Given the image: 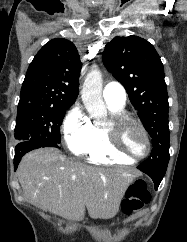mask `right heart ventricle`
<instances>
[{
    "instance_id": "1",
    "label": "right heart ventricle",
    "mask_w": 187,
    "mask_h": 242,
    "mask_svg": "<svg viewBox=\"0 0 187 242\" xmlns=\"http://www.w3.org/2000/svg\"><path fill=\"white\" fill-rule=\"evenodd\" d=\"M113 114L122 113L123 109L109 108ZM97 128L98 140L87 152L89 163L96 165L131 164L132 161L115 154L108 146L104 128Z\"/></svg>"
}]
</instances>
